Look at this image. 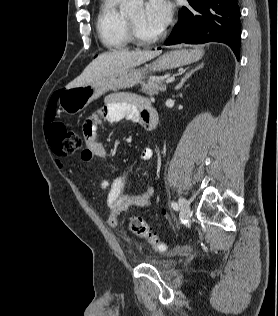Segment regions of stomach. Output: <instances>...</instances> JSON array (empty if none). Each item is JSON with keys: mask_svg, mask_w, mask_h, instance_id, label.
Listing matches in <instances>:
<instances>
[{"mask_svg": "<svg viewBox=\"0 0 278 316\" xmlns=\"http://www.w3.org/2000/svg\"><path fill=\"white\" fill-rule=\"evenodd\" d=\"M202 55L203 50L201 49L175 50L163 54L145 67L129 68L84 86L66 88L59 95V106L67 114L74 115L108 91L130 88L141 83L149 71H161L188 65L198 61Z\"/></svg>", "mask_w": 278, "mask_h": 316, "instance_id": "stomach-1", "label": "stomach"}]
</instances>
